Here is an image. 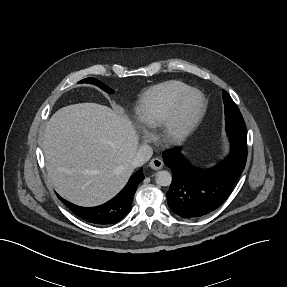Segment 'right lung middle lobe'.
I'll return each instance as SVG.
<instances>
[{"label": "right lung middle lobe", "mask_w": 287, "mask_h": 287, "mask_svg": "<svg viewBox=\"0 0 287 287\" xmlns=\"http://www.w3.org/2000/svg\"><path fill=\"white\" fill-rule=\"evenodd\" d=\"M80 83H91V84H94V85L100 87L102 90H104L108 93L113 92V90L111 88L107 87L105 84H103L102 82H100L99 80L94 79V78L83 79L82 81H80Z\"/></svg>", "instance_id": "1"}]
</instances>
